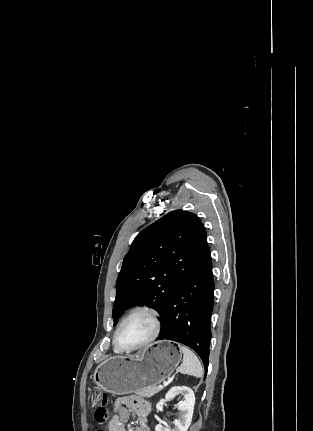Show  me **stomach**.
<instances>
[{"label": "stomach", "mask_w": 313, "mask_h": 431, "mask_svg": "<svg viewBox=\"0 0 313 431\" xmlns=\"http://www.w3.org/2000/svg\"><path fill=\"white\" fill-rule=\"evenodd\" d=\"M181 361V351L170 341L151 344L133 356H112L98 365L93 380L102 390L117 394L137 392L167 379ZM94 401H98V397Z\"/></svg>", "instance_id": "0dacf381"}]
</instances>
